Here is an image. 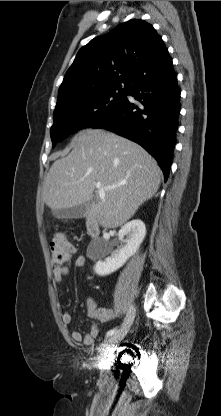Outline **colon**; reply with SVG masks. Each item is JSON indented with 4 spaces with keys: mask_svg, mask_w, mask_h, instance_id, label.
<instances>
[{
    "mask_svg": "<svg viewBox=\"0 0 221 416\" xmlns=\"http://www.w3.org/2000/svg\"><path fill=\"white\" fill-rule=\"evenodd\" d=\"M50 251L52 262L62 265L70 259L74 249L65 236L58 234L50 242Z\"/></svg>",
    "mask_w": 221,
    "mask_h": 416,
    "instance_id": "colon-1",
    "label": "colon"
}]
</instances>
